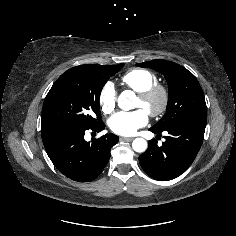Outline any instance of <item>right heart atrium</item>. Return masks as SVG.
<instances>
[{"mask_svg":"<svg viewBox=\"0 0 236 236\" xmlns=\"http://www.w3.org/2000/svg\"><path fill=\"white\" fill-rule=\"evenodd\" d=\"M101 111L108 115L112 113L116 107L117 93L114 84L107 82L103 85L98 96Z\"/></svg>","mask_w":236,"mask_h":236,"instance_id":"right-heart-atrium-1","label":"right heart atrium"}]
</instances>
